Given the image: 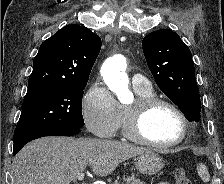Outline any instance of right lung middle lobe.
<instances>
[{"instance_id":"1","label":"right lung middle lobe","mask_w":224,"mask_h":184,"mask_svg":"<svg viewBox=\"0 0 224 184\" xmlns=\"http://www.w3.org/2000/svg\"><path fill=\"white\" fill-rule=\"evenodd\" d=\"M86 84L29 86L14 131V142L24 134L40 129H80L84 126L81 100Z\"/></svg>"}]
</instances>
